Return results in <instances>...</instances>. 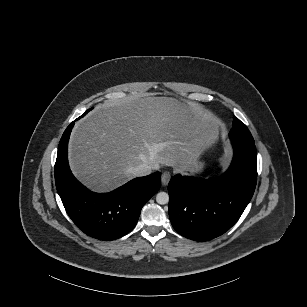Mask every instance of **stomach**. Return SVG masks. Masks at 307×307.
<instances>
[{
	"label": "stomach",
	"mask_w": 307,
	"mask_h": 307,
	"mask_svg": "<svg viewBox=\"0 0 307 307\" xmlns=\"http://www.w3.org/2000/svg\"><path fill=\"white\" fill-rule=\"evenodd\" d=\"M207 145H205L202 149H205ZM207 168V163L204 159L195 158V163L192 166L191 170L194 171V175L200 176L205 173Z\"/></svg>",
	"instance_id": "1"
}]
</instances>
